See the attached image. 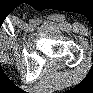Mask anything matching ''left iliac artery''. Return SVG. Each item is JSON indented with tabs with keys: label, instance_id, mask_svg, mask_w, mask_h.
<instances>
[{
	"label": "left iliac artery",
	"instance_id": "left-iliac-artery-1",
	"mask_svg": "<svg viewBox=\"0 0 93 93\" xmlns=\"http://www.w3.org/2000/svg\"><path fill=\"white\" fill-rule=\"evenodd\" d=\"M35 22H36L37 25H39L41 23V20L37 19Z\"/></svg>",
	"mask_w": 93,
	"mask_h": 93
}]
</instances>
